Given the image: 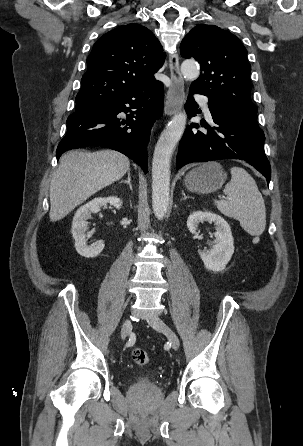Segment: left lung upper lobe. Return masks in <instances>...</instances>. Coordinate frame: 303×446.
<instances>
[{
    "label": "left lung upper lobe",
    "instance_id": "obj_1",
    "mask_svg": "<svg viewBox=\"0 0 303 446\" xmlns=\"http://www.w3.org/2000/svg\"><path fill=\"white\" fill-rule=\"evenodd\" d=\"M180 53L201 64L202 73L191 88L227 104L258 126L247 51L235 35L214 25H198L183 39Z\"/></svg>",
    "mask_w": 303,
    "mask_h": 446
}]
</instances>
